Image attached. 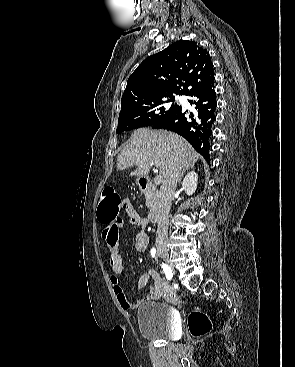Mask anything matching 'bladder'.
<instances>
[{"label":"bladder","mask_w":295,"mask_h":367,"mask_svg":"<svg viewBox=\"0 0 295 367\" xmlns=\"http://www.w3.org/2000/svg\"><path fill=\"white\" fill-rule=\"evenodd\" d=\"M138 330L146 339L173 340L177 336V311L160 301L143 303L137 313Z\"/></svg>","instance_id":"1"}]
</instances>
